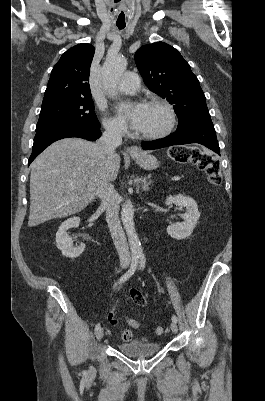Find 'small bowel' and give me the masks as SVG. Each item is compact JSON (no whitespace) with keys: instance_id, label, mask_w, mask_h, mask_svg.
I'll use <instances>...</instances> for the list:
<instances>
[{"instance_id":"1","label":"small bowel","mask_w":265,"mask_h":401,"mask_svg":"<svg viewBox=\"0 0 265 401\" xmlns=\"http://www.w3.org/2000/svg\"><path fill=\"white\" fill-rule=\"evenodd\" d=\"M129 293H130V296L132 297V299L135 302H137L138 304H140L142 306H144L146 304L142 294L139 291H137L135 289H131L129 291ZM109 315H111L113 317V320L109 318L110 322L112 324H117V320L114 318V313L111 312ZM128 331H129L128 337H123L121 335L122 340L125 341V342H128V341L132 340V338H133L132 332L130 330H128Z\"/></svg>"}]
</instances>
